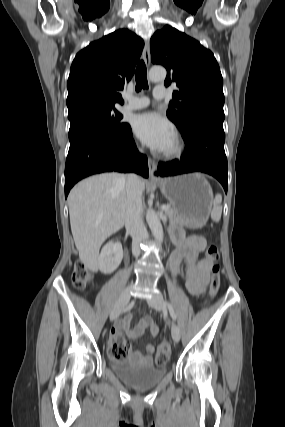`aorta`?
<instances>
[{
	"instance_id": "aorta-1",
	"label": "aorta",
	"mask_w": 285,
	"mask_h": 427,
	"mask_svg": "<svg viewBox=\"0 0 285 427\" xmlns=\"http://www.w3.org/2000/svg\"><path fill=\"white\" fill-rule=\"evenodd\" d=\"M166 74H167V72H166V69L164 67L154 66L149 71L148 79L151 82H161V81L165 80ZM146 220H147V223H148L150 230H151L153 236L155 237V239L159 243H162V241H163V228H162L159 217L157 216V214L155 213V211L153 209L149 208L147 210Z\"/></svg>"
}]
</instances>
